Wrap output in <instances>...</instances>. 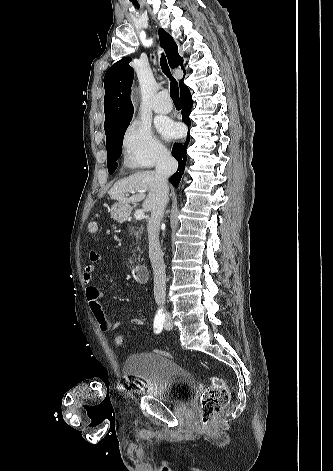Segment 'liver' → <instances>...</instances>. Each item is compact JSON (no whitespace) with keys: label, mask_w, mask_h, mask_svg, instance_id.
Here are the masks:
<instances>
[{"label":"liver","mask_w":333,"mask_h":471,"mask_svg":"<svg viewBox=\"0 0 333 471\" xmlns=\"http://www.w3.org/2000/svg\"><path fill=\"white\" fill-rule=\"evenodd\" d=\"M148 191V195L145 192ZM134 195L128 197V193ZM111 199L121 204L128 205L144 200L143 210L148 212L152 210L153 205L159 196V180L155 171H141L134 173L126 178L118 180L108 191Z\"/></svg>","instance_id":"liver-1"}]
</instances>
